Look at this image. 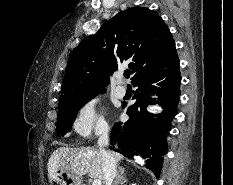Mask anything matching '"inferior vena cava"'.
Segmentation results:
<instances>
[{"label": "inferior vena cava", "instance_id": "obj_1", "mask_svg": "<svg viewBox=\"0 0 233 185\" xmlns=\"http://www.w3.org/2000/svg\"><path fill=\"white\" fill-rule=\"evenodd\" d=\"M109 127H103L98 132V147L102 156L103 164V180L105 185H112L113 179L116 177V161L110 152L105 150V147L109 145Z\"/></svg>", "mask_w": 233, "mask_h": 185}]
</instances>
